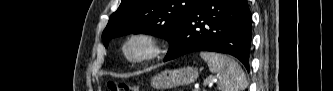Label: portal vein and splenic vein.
I'll return each instance as SVG.
<instances>
[{"mask_svg": "<svg viewBox=\"0 0 333 91\" xmlns=\"http://www.w3.org/2000/svg\"><path fill=\"white\" fill-rule=\"evenodd\" d=\"M208 83H210V80L207 79V80L204 81V85H206ZM198 90H199V86H195L194 91H198Z\"/></svg>", "mask_w": 333, "mask_h": 91, "instance_id": "18ae733b", "label": "portal vein and splenic vein"}]
</instances>
